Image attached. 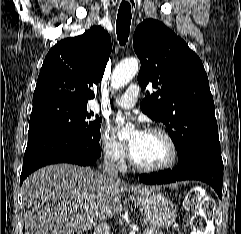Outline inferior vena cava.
I'll list each match as a JSON object with an SVG mask.
<instances>
[{
  "label": "inferior vena cava",
  "instance_id": "1",
  "mask_svg": "<svg viewBox=\"0 0 241 234\" xmlns=\"http://www.w3.org/2000/svg\"><path fill=\"white\" fill-rule=\"evenodd\" d=\"M104 164V172L116 181H120V178L118 177V171L115 169V161L112 159L111 153L105 155ZM94 234H110V226L106 222H99V224L95 227Z\"/></svg>",
  "mask_w": 241,
  "mask_h": 234
}]
</instances>
